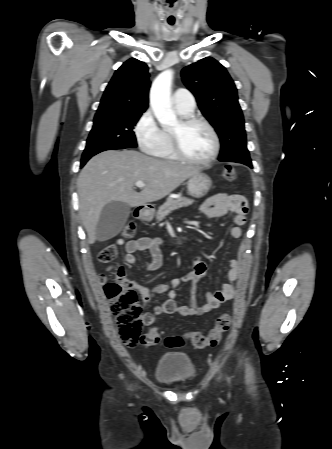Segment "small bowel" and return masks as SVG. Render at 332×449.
I'll return each instance as SVG.
<instances>
[{"mask_svg":"<svg viewBox=\"0 0 332 449\" xmlns=\"http://www.w3.org/2000/svg\"><path fill=\"white\" fill-rule=\"evenodd\" d=\"M249 206L245 197L241 195H229L221 193L210 197L201 207L203 214L210 218H220L227 213L233 214V225L229 233L234 239H239L242 235L241 226L246 221ZM161 239L141 237L130 240L125 245V262L133 264L135 262V253L138 251L147 252L149 259L145 267L149 271H155L162 266V254L160 250ZM240 263L238 260L231 259L228 263V282L217 292H208L205 296V302L198 305L195 299V290L198 281L206 275L207 266L200 260L194 261L193 269L180 278H173L168 282L160 283L152 289L136 286V290L142 298L144 304H148L159 294H164L166 299L164 302L156 306L153 311L143 316L146 325H151L155 319L162 314H178L188 317L202 315L218 308L222 303L233 298L235 293V283L240 274ZM117 279L126 281L125 273L122 268L117 270ZM190 283L191 300L188 305H180L177 303L176 288L182 283Z\"/></svg>","mask_w":332,"mask_h":449,"instance_id":"1","label":"small bowel"}]
</instances>
